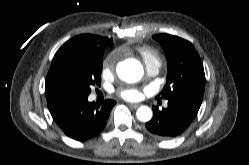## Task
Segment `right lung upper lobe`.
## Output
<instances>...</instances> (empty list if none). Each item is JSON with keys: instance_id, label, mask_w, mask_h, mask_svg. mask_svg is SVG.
<instances>
[{"instance_id": "obj_1", "label": "right lung upper lobe", "mask_w": 249, "mask_h": 165, "mask_svg": "<svg viewBox=\"0 0 249 165\" xmlns=\"http://www.w3.org/2000/svg\"><path fill=\"white\" fill-rule=\"evenodd\" d=\"M112 43V39L100 37L96 35H79L76 36L69 41H67L61 48L56 52L50 70L48 72L46 81H45V93L46 98L56 96V95H62L59 90L57 89L55 85V70H56V62L59 58L60 54L73 47H79V48H92L95 50H102L104 51L107 46H109Z\"/></svg>"}]
</instances>
